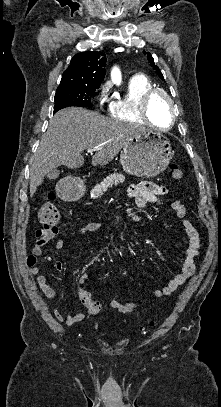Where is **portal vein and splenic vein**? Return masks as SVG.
<instances>
[{"label": "portal vein and splenic vein", "instance_id": "obj_1", "mask_svg": "<svg viewBox=\"0 0 221 407\" xmlns=\"http://www.w3.org/2000/svg\"><path fill=\"white\" fill-rule=\"evenodd\" d=\"M96 149H97V148H89V149H87V153L92 154L93 151H95Z\"/></svg>", "mask_w": 221, "mask_h": 407}]
</instances>
